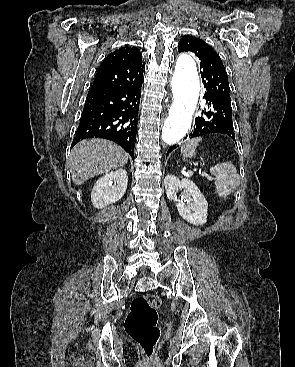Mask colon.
<instances>
[{
    "mask_svg": "<svg viewBox=\"0 0 295 367\" xmlns=\"http://www.w3.org/2000/svg\"><path fill=\"white\" fill-rule=\"evenodd\" d=\"M161 300L155 294L135 297L125 320V331L142 349L145 357L151 359L160 338L158 309Z\"/></svg>",
    "mask_w": 295,
    "mask_h": 367,
    "instance_id": "1",
    "label": "colon"
}]
</instances>
